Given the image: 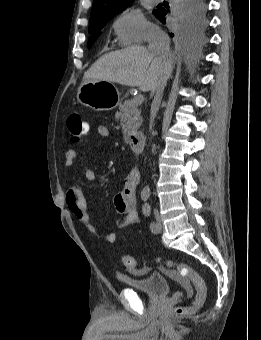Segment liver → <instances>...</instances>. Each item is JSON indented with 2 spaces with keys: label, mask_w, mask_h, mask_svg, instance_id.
Segmentation results:
<instances>
[{
  "label": "liver",
  "mask_w": 261,
  "mask_h": 340,
  "mask_svg": "<svg viewBox=\"0 0 261 340\" xmlns=\"http://www.w3.org/2000/svg\"><path fill=\"white\" fill-rule=\"evenodd\" d=\"M172 57L162 58L144 46H132L101 56L84 74L83 82L97 79L154 91Z\"/></svg>",
  "instance_id": "6515ba94"
}]
</instances>
